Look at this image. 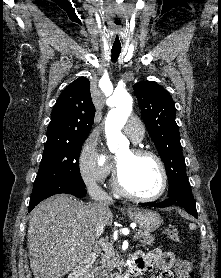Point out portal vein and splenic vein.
I'll list each match as a JSON object with an SVG mask.
<instances>
[{"instance_id": "1", "label": "portal vein and splenic vein", "mask_w": 221, "mask_h": 278, "mask_svg": "<svg viewBox=\"0 0 221 278\" xmlns=\"http://www.w3.org/2000/svg\"><path fill=\"white\" fill-rule=\"evenodd\" d=\"M134 239L136 238V236L134 235V237H133ZM136 240V239H135ZM100 245L102 246V248L104 249V250H107L108 248H109V244L108 243H105L103 240H100Z\"/></svg>"}]
</instances>
